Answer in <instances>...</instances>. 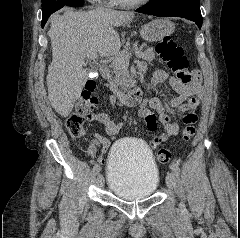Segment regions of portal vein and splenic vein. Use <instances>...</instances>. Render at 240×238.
Returning a JSON list of instances; mask_svg holds the SVG:
<instances>
[{"mask_svg":"<svg viewBox=\"0 0 240 238\" xmlns=\"http://www.w3.org/2000/svg\"><path fill=\"white\" fill-rule=\"evenodd\" d=\"M131 55H132V53L128 52L123 58H117V62H119V63L128 62ZM135 55H136V57L141 58L140 51L138 49L135 50ZM87 57L89 59H94L95 57H97V53L95 51L90 50L87 53Z\"/></svg>","mask_w":240,"mask_h":238,"instance_id":"18ae733b","label":"portal vein and splenic vein"}]
</instances>
